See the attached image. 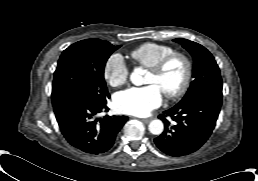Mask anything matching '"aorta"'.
I'll return each instance as SVG.
<instances>
[{"mask_svg": "<svg viewBox=\"0 0 258 181\" xmlns=\"http://www.w3.org/2000/svg\"><path fill=\"white\" fill-rule=\"evenodd\" d=\"M144 70L142 68H135L130 75V81L136 85L140 86L144 83L143 75ZM149 131L154 135H160L164 130V125L161 120H153L148 126Z\"/></svg>", "mask_w": 258, "mask_h": 181, "instance_id": "1", "label": "aorta"}]
</instances>
